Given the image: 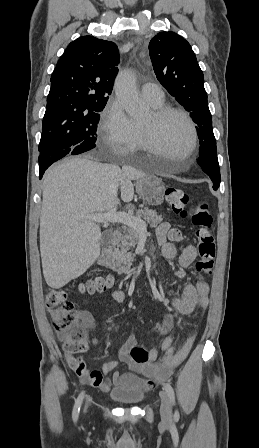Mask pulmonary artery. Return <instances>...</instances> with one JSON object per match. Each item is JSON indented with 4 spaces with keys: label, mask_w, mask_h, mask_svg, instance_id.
<instances>
[{
    "label": "pulmonary artery",
    "mask_w": 259,
    "mask_h": 448,
    "mask_svg": "<svg viewBox=\"0 0 259 448\" xmlns=\"http://www.w3.org/2000/svg\"><path fill=\"white\" fill-rule=\"evenodd\" d=\"M140 90L142 97L148 102L156 103L164 100V90L159 84L147 83Z\"/></svg>",
    "instance_id": "1"
}]
</instances>
